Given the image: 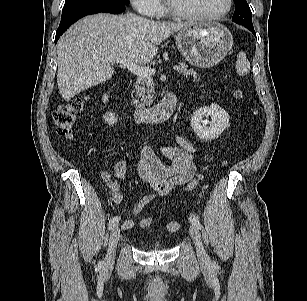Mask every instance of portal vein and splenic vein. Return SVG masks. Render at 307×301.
I'll list each match as a JSON object with an SVG mask.
<instances>
[{"label":"portal vein and splenic vein","instance_id":"1","mask_svg":"<svg viewBox=\"0 0 307 301\" xmlns=\"http://www.w3.org/2000/svg\"><path fill=\"white\" fill-rule=\"evenodd\" d=\"M109 61L111 63H120L124 67H127V69L131 71L133 74L138 75L140 77H151L152 75L155 74L154 68L138 65L126 58H110ZM173 69L175 71H179L180 66L175 65L173 66Z\"/></svg>","mask_w":307,"mask_h":301}]
</instances>
